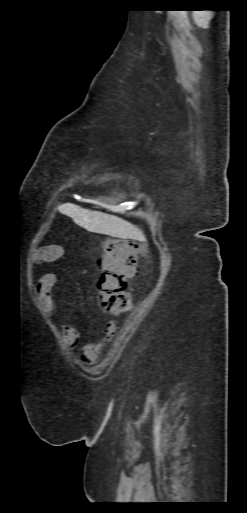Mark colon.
Segmentation results:
<instances>
[{"instance_id":"1","label":"colon","mask_w":247,"mask_h":513,"mask_svg":"<svg viewBox=\"0 0 247 513\" xmlns=\"http://www.w3.org/2000/svg\"><path fill=\"white\" fill-rule=\"evenodd\" d=\"M60 251L56 253L58 256ZM100 278L98 297L100 306L108 312L120 313L128 309L131 295L128 284L138 272V246L128 239L114 238L103 243L98 259Z\"/></svg>"}]
</instances>
